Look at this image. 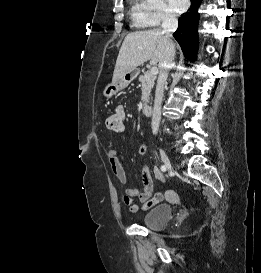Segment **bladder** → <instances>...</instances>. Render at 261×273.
<instances>
[{
	"mask_svg": "<svg viewBox=\"0 0 261 273\" xmlns=\"http://www.w3.org/2000/svg\"><path fill=\"white\" fill-rule=\"evenodd\" d=\"M172 218V206L170 204H157L151 208L142 218L145 227L159 230L165 228Z\"/></svg>",
	"mask_w": 261,
	"mask_h": 273,
	"instance_id": "obj_1",
	"label": "bladder"
}]
</instances>
